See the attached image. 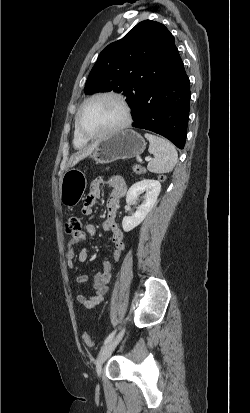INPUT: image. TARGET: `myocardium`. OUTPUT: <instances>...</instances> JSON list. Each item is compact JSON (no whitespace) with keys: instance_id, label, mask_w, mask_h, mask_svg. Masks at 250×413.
Wrapping results in <instances>:
<instances>
[{"instance_id":"f54148a6","label":"myocardium","mask_w":250,"mask_h":413,"mask_svg":"<svg viewBox=\"0 0 250 413\" xmlns=\"http://www.w3.org/2000/svg\"><path fill=\"white\" fill-rule=\"evenodd\" d=\"M98 98H111L114 99L115 101H117L120 106L123 109V113H124V118L123 121L116 127L105 131V132H101L98 134H87L85 133L80 125V118H81V114L85 108V106L90 103L91 101L98 99ZM132 121V112H131V108L128 105V103L126 102V100L124 99V97L122 95H120L119 93L113 92V91H104V92H98L95 93L93 95H91L90 97H88L86 100H84V102L80 105L77 113H76V117H75V129L78 133V135L89 141V140H96V139H101V138H105V137H109L112 135H116L122 131H124L127 127H129V125L131 124Z\"/></svg>"}]
</instances>
